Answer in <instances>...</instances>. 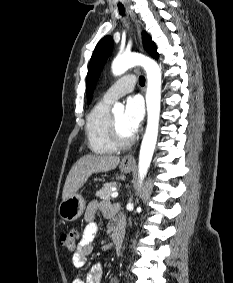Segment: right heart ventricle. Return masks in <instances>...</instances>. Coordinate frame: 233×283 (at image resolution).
Here are the masks:
<instances>
[{"label": "right heart ventricle", "instance_id": "1", "mask_svg": "<svg viewBox=\"0 0 233 283\" xmlns=\"http://www.w3.org/2000/svg\"><path fill=\"white\" fill-rule=\"evenodd\" d=\"M111 103L104 99L99 100L87 116L85 128L87 144L95 154L106 155L116 150L109 138Z\"/></svg>", "mask_w": 233, "mask_h": 283}]
</instances>
